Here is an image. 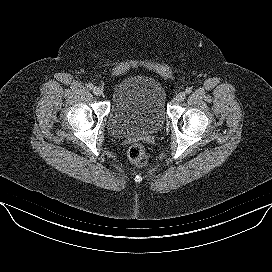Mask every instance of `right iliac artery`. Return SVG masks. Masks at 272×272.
<instances>
[{
    "instance_id": "82829eb1",
    "label": "right iliac artery",
    "mask_w": 272,
    "mask_h": 272,
    "mask_svg": "<svg viewBox=\"0 0 272 272\" xmlns=\"http://www.w3.org/2000/svg\"><path fill=\"white\" fill-rule=\"evenodd\" d=\"M87 88H88V89H92V88H93V84H92V83H88V84H87Z\"/></svg>"
}]
</instances>
